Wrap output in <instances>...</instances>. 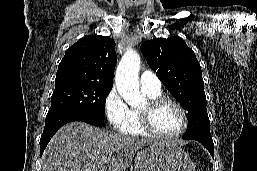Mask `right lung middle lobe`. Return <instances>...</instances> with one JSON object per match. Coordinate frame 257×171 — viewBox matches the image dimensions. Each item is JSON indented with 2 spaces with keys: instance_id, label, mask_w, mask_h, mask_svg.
Listing matches in <instances>:
<instances>
[{
  "instance_id": "obj_1",
  "label": "right lung middle lobe",
  "mask_w": 257,
  "mask_h": 171,
  "mask_svg": "<svg viewBox=\"0 0 257 171\" xmlns=\"http://www.w3.org/2000/svg\"><path fill=\"white\" fill-rule=\"evenodd\" d=\"M112 86L74 83L55 88L47 115L80 111L104 120L105 103Z\"/></svg>"
}]
</instances>
